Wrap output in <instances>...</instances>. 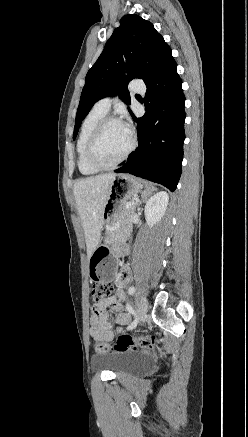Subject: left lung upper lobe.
I'll use <instances>...</instances> for the list:
<instances>
[{
    "instance_id": "left-lung-upper-lobe-1",
    "label": "left lung upper lobe",
    "mask_w": 248,
    "mask_h": 437,
    "mask_svg": "<svg viewBox=\"0 0 248 437\" xmlns=\"http://www.w3.org/2000/svg\"><path fill=\"white\" fill-rule=\"evenodd\" d=\"M173 60L170 47L152 23L132 14L125 15L103 52L85 78L75 119L73 139L92 106L98 100L118 94L130 103L128 83L136 78L145 84L156 78ZM129 112L132 114L131 110Z\"/></svg>"
}]
</instances>
